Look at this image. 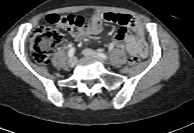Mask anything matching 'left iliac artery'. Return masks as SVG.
<instances>
[{
  "instance_id": "obj_1",
  "label": "left iliac artery",
  "mask_w": 194,
  "mask_h": 133,
  "mask_svg": "<svg viewBox=\"0 0 194 133\" xmlns=\"http://www.w3.org/2000/svg\"><path fill=\"white\" fill-rule=\"evenodd\" d=\"M97 54H98V56H99L100 58H102V59H104V60H107V59H108L107 55L104 54V53H102V52H97Z\"/></svg>"
}]
</instances>
